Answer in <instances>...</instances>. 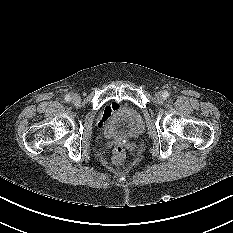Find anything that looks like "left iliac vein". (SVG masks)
Wrapping results in <instances>:
<instances>
[{"label":"left iliac vein","mask_w":233,"mask_h":233,"mask_svg":"<svg viewBox=\"0 0 233 233\" xmlns=\"http://www.w3.org/2000/svg\"><path fill=\"white\" fill-rule=\"evenodd\" d=\"M156 98H157L158 100H163V92H161V91L157 92V93H156Z\"/></svg>","instance_id":"left-iliac-vein-1"}]
</instances>
